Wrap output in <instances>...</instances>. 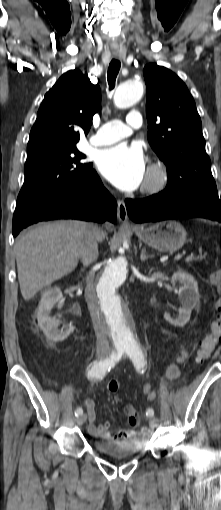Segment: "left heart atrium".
<instances>
[{
	"label": "left heart atrium",
	"mask_w": 221,
	"mask_h": 510,
	"mask_svg": "<svg viewBox=\"0 0 221 510\" xmlns=\"http://www.w3.org/2000/svg\"><path fill=\"white\" fill-rule=\"evenodd\" d=\"M96 161L100 172L123 191L137 189L145 179V158L137 146L118 144L101 150Z\"/></svg>",
	"instance_id": "39dd6f15"
}]
</instances>
